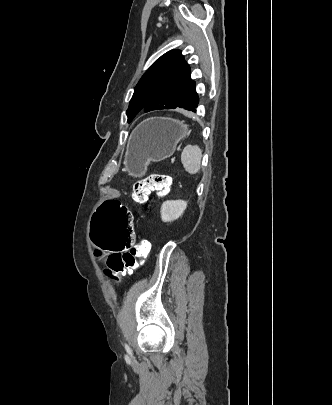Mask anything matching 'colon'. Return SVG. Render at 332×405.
Here are the masks:
<instances>
[{
	"mask_svg": "<svg viewBox=\"0 0 332 405\" xmlns=\"http://www.w3.org/2000/svg\"><path fill=\"white\" fill-rule=\"evenodd\" d=\"M172 188V179L165 174L154 173L136 182L132 197L137 202H144L149 193L166 195ZM98 210L93 211L92 257H112L100 260L101 268H108L106 274L114 281H119L127 273L134 271L139 262L150 250V243L141 240L135 245L137 227H133L132 213L125 202H117L115 197H108L106 202L98 203Z\"/></svg>",
	"mask_w": 332,
	"mask_h": 405,
	"instance_id": "5ec220e1",
	"label": "colon"
}]
</instances>
